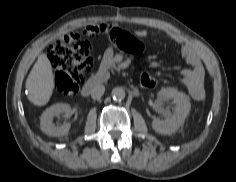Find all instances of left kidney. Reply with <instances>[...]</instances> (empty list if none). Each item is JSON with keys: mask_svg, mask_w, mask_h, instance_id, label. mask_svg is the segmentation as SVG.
I'll list each match as a JSON object with an SVG mask.
<instances>
[{"mask_svg": "<svg viewBox=\"0 0 236 182\" xmlns=\"http://www.w3.org/2000/svg\"><path fill=\"white\" fill-rule=\"evenodd\" d=\"M159 97L173 100L174 113L167 116L164 120L154 118L152 128L155 132L163 135H170L183 125L189 114L191 104L189 98L175 88H163L158 93Z\"/></svg>", "mask_w": 236, "mask_h": 182, "instance_id": "obj_1", "label": "left kidney"}]
</instances>
